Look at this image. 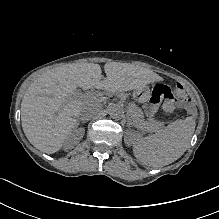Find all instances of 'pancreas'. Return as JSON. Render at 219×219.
Returning a JSON list of instances; mask_svg holds the SVG:
<instances>
[{"mask_svg": "<svg viewBox=\"0 0 219 219\" xmlns=\"http://www.w3.org/2000/svg\"><path fill=\"white\" fill-rule=\"evenodd\" d=\"M128 116L130 119L134 120L136 126L142 127L145 126L147 131L156 132L162 126L161 123L154 120L146 121L144 118V113L140 109H132L129 111Z\"/></svg>", "mask_w": 219, "mask_h": 219, "instance_id": "pancreas-1", "label": "pancreas"}]
</instances>
